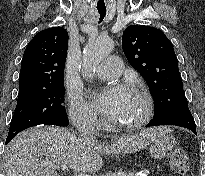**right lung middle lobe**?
<instances>
[{"mask_svg": "<svg viewBox=\"0 0 205 176\" xmlns=\"http://www.w3.org/2000/svg\"><path fill=\"white\" fill-rule=\"evenodd\" d=\"M63 102L64 84L18 94L6 141L10 142L19 132L36 125L67 126L69 121Z\"/></svg>", "mask_w": 205, "mask_h": 176, "instance_id": "right-lung-middle-lobe-1", "label": "right lung middle lobe"}]
</instances>
